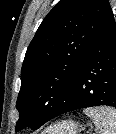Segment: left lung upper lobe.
Returning <instances> with one entry per match:
<instances>
[{
  "label": "left lung upper lobe",
  "mask_w": 116,
  "mask_h": 134,
  "mask_svg": "<svg viewBox=\"0 0 116 134\" xmlns=\"http://www.w3.org/2000/svg\"><path fill=\"white\" fill-rule=\"evenodd\" d=\"M112 9L108 0H60L25 54L15 131L36 130L71 97L74 79Z\"/></svg>",
  "instance_id": "obj_1"
}]
</instances>
